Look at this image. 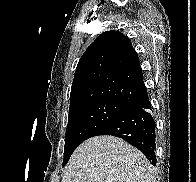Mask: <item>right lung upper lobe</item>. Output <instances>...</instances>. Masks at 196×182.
<instances>
[{"label": "right lung upper lobe", "instance_id": "cb5924a9", "mask_svg": "<svg viewBox=\"0 0 196 182\" xmlns=\"http://www.w3.org/2000/svg\"><path fill=\"white\" fill-rule=\"evenodd\" d=\"M146 87L138 55L118 31L100 34L79 60L71 88L70 109L99 100L134 105Z\"/></svg>", "mask_w": 196, "mask_h": 182}]
</instances>
